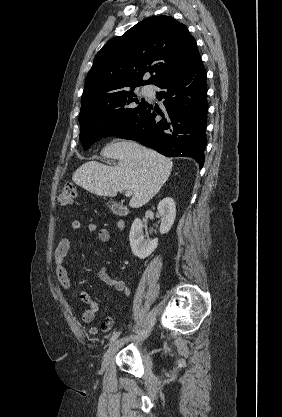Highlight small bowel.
I'll use <instances>...</instances> for the list:
<instances>
[{
    "instance_id": "obj_1",
    "label": "small bowel",
    "mask_w": 282,
    "mask_h": 417,
    "mask_svg": "<svg viewBox=\"0 0 282 417\" xmlns=\"http://www.w3.org/2000/svg\"><path fill=\"white\" fill-rule=\"evenodd\" d=\"M69 228L71 232H79L82 229V222L78 219H74L70 222ZM90 232H97L98 239L101 242H107L110 239V231L105 228H98L95 223H91L88 226ZM70 248V240L67 237H64L58 243L54 251V262H55V273L56 277L64 289H69L71 287V281L68 275L66 268L63 263L68 254ZM97 278L106 284L107 286L113 288L115 291L122 293L125 297L130 295V289L125 281L112 277L108 274L105 268H100L97 271ZM80 299L83 303L87 305L82 312V319L85 323H91L94 320L95 314L98 310V303L92 298V296L87 291H82L80 293ZM114 325V318L112 316H107L100 326H91L88 329L89 334L95 335L99 331L107 332L111 330Z\"/></svg>"
}]
</instances>
